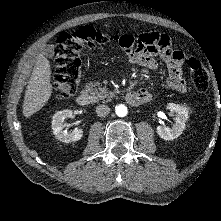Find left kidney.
Instances as JSON below:
<instances>
[{
    "instance_id": "left-kidney-1",
    "label": "left kidney",
    "mask_w": 221,
    "mask_h": 221,
    "mask_svg": "<svg viewBox=\"0 0 221 221\" xmlns=\"http://www.w3.org/2000/svg\"><path fill=\"white\" fill-rule=\"evenodd\" d=\"M167 108L176 113L175 124L172 128L157 126V134L164 140H174L178 138L185 129V123L188 119L189 109L184 105L168 103Z\"/></svg>"
}]
</instances>
